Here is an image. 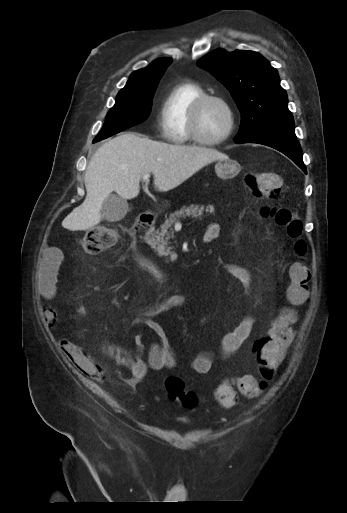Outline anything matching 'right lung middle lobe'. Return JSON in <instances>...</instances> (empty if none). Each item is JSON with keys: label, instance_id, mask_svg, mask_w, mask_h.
<instances>
[{"label": "right lung middle lobe", "instance_id": "dd1d6c3e", "mask_svg": "<svg viewBox=\"0 0 347 513\" xmlns=\"http://www.w3.org/2000/svg\"><path fill=\"white\" fill-rule=\"evenodd\" d=\"M158 81L134 90H121L108 112L105 124L94 143L142 123L150 114Z\"/></svg>", "mask_w": 347, "mask_h": 513}]
</instances>
